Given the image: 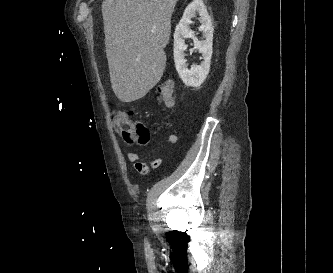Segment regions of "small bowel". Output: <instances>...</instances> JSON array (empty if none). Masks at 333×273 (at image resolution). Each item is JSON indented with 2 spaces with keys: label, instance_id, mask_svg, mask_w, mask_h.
<instances>
[{
  "label": "small bowel",
  "instance_id": "1",
  "mask_svg": "<svg viewBox=\"0 0 333 273\" xmlns=\"http://www.w3.org/2000/svg\"><path fill=\"white\" fill-rule=\"evenodd\" d=\"M170 106H171V105H170ZM177 142H178V137H177V135H175V134H171V135L168 136V138H167V144H168L169 146H174ZM126 157H127V159H128L130 162L135 163V164L141 161L140 156H139L137 153L132 152V151L127 152V153H126ZM160 162H161V159H160V158H156V159L152 160V161L150 162V164H151L152 166L156 167V166H158V165L160 164Z\"/></svg>",
  "mask_w": 333,
  "mask_h": 273
}]
</instances>
